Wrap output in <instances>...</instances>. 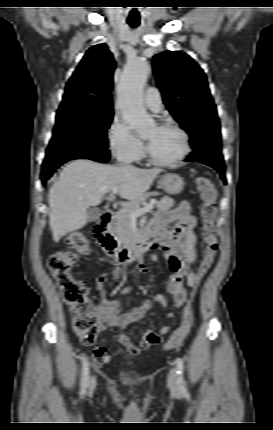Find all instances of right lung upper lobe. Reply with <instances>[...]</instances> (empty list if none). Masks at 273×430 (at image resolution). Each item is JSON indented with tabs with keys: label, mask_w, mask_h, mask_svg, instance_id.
Listing matches in <instances>:
<instances>
[{
	"label": "right lung upper lobe",
	"mask_w": 273,
	"mask_h": 430,
	"mask_svg": "<svg viewBox=\"0 0 273 430\" xmlns=\"http://www.w3.org/2000/svg\"><path fill=\"white\" fill-rule=\"evenodd\" d=\"M115 63L105 44L90 48L65 87L59 109L113 111L111 91Z\"/></svg>",
	"instance_id": "cb5924a9"
}]
</instances>
